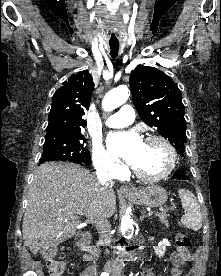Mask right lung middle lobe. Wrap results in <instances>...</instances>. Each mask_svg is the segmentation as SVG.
I'll list each match as a JSON object with an SVG mask.
<instances>
[{"instance_id": "1", "label": "right lung middle lobe", "mask_w": 221, "mask_h": 276, "mask_svg": "<svg viewBox=\"0 0 221 276\" xmlns=\"http://www.w3.org/2000/svg\"><path fill=\"white\" fill-rule=\"evenodd\" d=\"M86 141L81 132L46 135L40 163L60 160L90 165V152L84 147Z\"/></svg>"}]
</instances>
